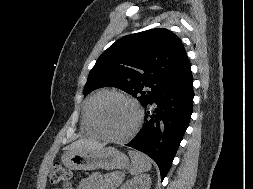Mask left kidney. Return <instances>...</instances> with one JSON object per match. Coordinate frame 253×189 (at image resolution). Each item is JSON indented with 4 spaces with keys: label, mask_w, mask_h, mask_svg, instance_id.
Instances as JSON below:
<instances>
[{
    "label": "left kidney",
    "mask_w": 253,
    "mask_h": 189,
    "mask_svg": "<svg viewBox=\"0 0 253 189\" xmlns=\"http://www.w3.org/2000/svg\"><path fill=\"white\" fill-rule=\"evenodd\" d=\"M151 179L149 175H141L128 180L120 189H150Z\"/></svg>",
    "instance_id": "5707ae66"
}]
</instances>
